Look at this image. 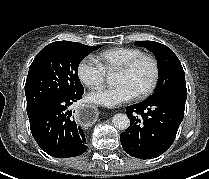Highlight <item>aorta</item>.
<instances>
[{"label": "aorta", "instance_id": "obj_1", "mask_svg": "<svg viewBox=\"0 0 209 179\" xmlns=\"http://www.w3.org/2000/svg\"><path fill=\"white\" fill-rule=\"evenodd\" d=\"M108 81H111V78H108ZM113 125L120 130H125L130 126V120L126 114L118 113L115 114L112 118Z\"/></svg>", "mask_w": 209, "mask_h": 179}]
</instances>
